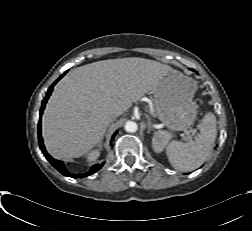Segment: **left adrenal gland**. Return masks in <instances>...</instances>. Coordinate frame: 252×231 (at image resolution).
<instances>
[{"label":"left adrenal gland","instance_id":"left-adrenal-gland-1","mask_svg":"<svg viewBox=\"0 0 252 231\" xmlns=\"http://www.w3.org/2000/svg\"><path fill=\"white\" fill-rule=\"evenodd\" d=\"M146 118L148 119V123H147L148 130H147V133H150V131L152 130V124H151V121H150L148 115H146Z\"/></svg>","mask_w":252,"mask_h":231}]
</instances>
